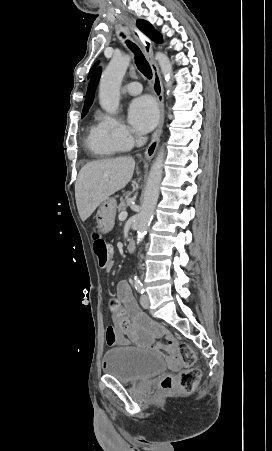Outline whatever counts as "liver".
I'll return each instance as SVG.
<instances>
[{"instance_id":"1","label":"liver","mask_w":272,"mask_h":451,"mask_svg":"<svg viewBox=\"0 0 272 451\" xmlns=\"http://www.w3.org/2000/svg\"><path fill=\"white\" fill-rule=\"evenodd\" d=\"M135 168L133 158L97 160L81 168L75 184V198L82 222L109 196L125 188Z\"/></svg>"}]
</instances>
